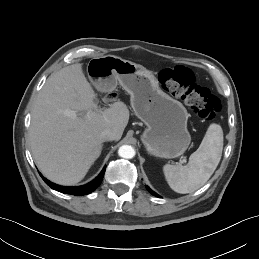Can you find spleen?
I'll list each match as a JSON object with an SVG mask.
<instances>
[{
  "label": "spleen",
  "mask_w": 259,
  "mask_h": 259,
  "mask_svg": "<svg viewBox=\"0 0 259 259\" xmlns=\"http://www.w3.org/2000/svg\"><path fill=\"white\" fill-rule=\"evenodd\" d=\"M223 150V131L212 123L199 148L190 155L185 166L166 164L163 166L165 179L177 193H192L203 186L216 170Z\"/></svg>",
  "instance_id": "3e777b00"
}]
</instances>
